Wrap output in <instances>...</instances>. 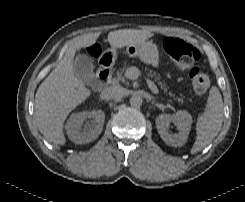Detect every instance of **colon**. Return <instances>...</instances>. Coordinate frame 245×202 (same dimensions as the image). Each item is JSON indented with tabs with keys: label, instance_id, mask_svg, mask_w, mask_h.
Masks as SVG:
<instances>
[{
	"label": "colon",
	"instance_id": "colon-1",
	"mask_svg": "<svg viewBox=\"0 0 245 202\" xmlns=\"http://www.w3.org/2000/svg\"><path fill=\"white\" fill-rule=\"evenodd\" d=\"M162 45L177 70L184 72L192 68L190 77L194 92L197 95L204 94L211 85L212 76L210 72L197 65L200 51L192 44L172 36L166 37ZM83 52L90 57L96 56L95 47H85Z\"/></svg>",
	"mask_w": 245,
	"mask_h": 202
}]
</instances>
